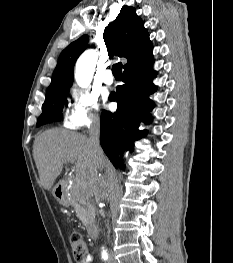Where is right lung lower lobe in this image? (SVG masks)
I'll return each mask as SVG.
<instances>
[{
    "label": "right lung lower lobe",
    "instance_id": "obj_1",
    "mask_svg": "<svg viewBox=\"0 0 233 263\" xmlns=\"http://www.w3.org/2000/svg\"><path fill=\"white\" fill-rule=\"evenodd\" d=\"M152 63L153 59L124 69V84L117 87L114 96L109 97L118 103L116 112L104 110L101 114L100 144L116 168L122 164L119 160L121 150L132 149L133 142L146 135V130L138 129L140 122L149 124L152 121L149 111L154 103L149 95L156 89L153 79L157 75Z\"/></svg>",
    "mask_w": 233,
    "mask_h": 263
}]
</instances>
